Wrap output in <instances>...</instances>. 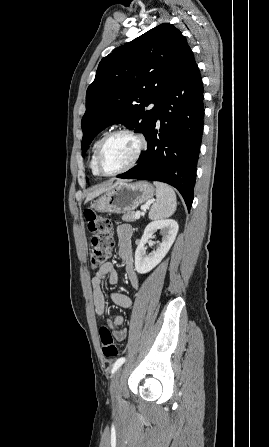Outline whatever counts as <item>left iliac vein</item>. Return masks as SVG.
Returning <instances> with one entry per match:
<instances>
[{
  "label": "left iliac vein",
  "instance_id": "left-iliac-vein-1",
  "mask_svg": "<svg viewBox=\"0 0 269 447\" xmlns=\"http://www.w3.org/2000/svg\"><path fill=\"white\" fill-rule=\"evenodd\" d=\"M122 372H123L122 368L118 369L117 372L115 373L114 378L111 381L110 391L112 396V402L114 404L120 403L122 400L121 387L119 384V377L122 375Z\"/></svg>",
  "mask_w": 269,
  "mask_h": 447
}]
</instances>
